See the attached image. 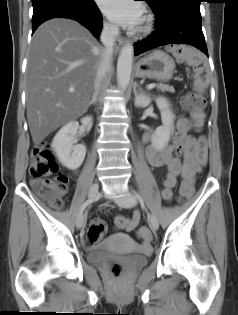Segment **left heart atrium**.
I'll use <instances>...</instances> for the list:
<instances>
[{
  "mask_svg": "<svg viewBox=\"0 0 238 315\" xmlns=\"http://www.w3.org/2000/svg\"><path fill=\"white\" fill-rule=\"evenodd\" d=\"M102 12L115 24L135 28L143 16L142 5L135 0H98Z\"/></svg>",
  "mask_w": 238,
  "mask_h": 315,
  "instance_id": "left-heart-atrium-1",
  "label": "left heart atrium"
}]
</instances>
